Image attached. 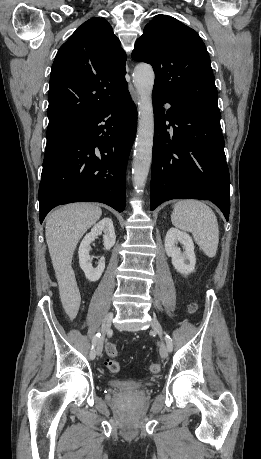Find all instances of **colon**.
Returning a JSON list of instances; mask_svg holds the SVG:
<instances>
[{
	"label": "colon",
	"instance_id": "5ec220e1",
	"mask_svg": "<svg viewBox=\"0 0 261 459\" xmlns=\"http://www.w3.org/2000/svg\"><path fill=\"white\" fill-rule=\"evenodd\" d=\"M197 309V305L195 303H192L190 304L189 306V311L190 313H194ZM106 354L110 357V358H114L117 353H118V349H117V346L113 343H108L106 345ZM106 366L108 368L109 371L113 372V373H116L120 370V364L118 361L114 360V359H109L106 363ZM161 370V367L159 364L157 363H153L149 366V371L153 374H157L159 373Z\"/></svg>",
	"mask_w": 261,
	"mask_h": 459
}]
</instances>
